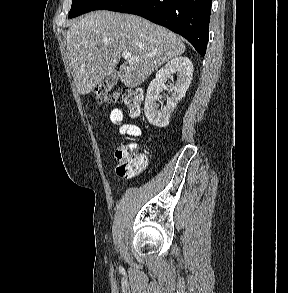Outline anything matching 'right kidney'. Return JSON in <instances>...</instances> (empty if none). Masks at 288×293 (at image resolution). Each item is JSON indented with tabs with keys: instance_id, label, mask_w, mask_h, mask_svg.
I'll use <instances>...</instances> for the list:
<instances>
[{
	"instance_id": "ca27d5eb",
	"label": "right kidney",
	"mask_w": 288,
	"mask_h": 293,
	"mask_svg": "<svg viewBox=\"0 0 288 293\" xmlns=\"http://www.w3.org/2000/svg\"><path fill=\"white\" fill-rule=\"evenodd\" d=\"M175 73L177 78L171 86L173 92L167 97L166 105L159 108L156 102L160 98V91L167 79ZM192 75L193 64L187 57H176L157 72L155 79L149 84L144 105L145 116L150 124L157 127L169 124L171 113L185 96Z\"/></svg>"
}]
</instances>
